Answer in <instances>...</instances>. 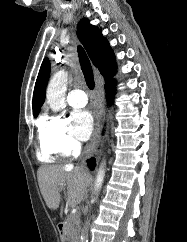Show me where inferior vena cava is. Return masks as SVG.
<instances>
[{
	"label": "inferior vena cava",
	"instance_id": "obj_1",
	"mask_svg": "<svg viewBox=\"0 0 187 242\" xmlns=\"http://www.w3.org/2000/svg\"><path fill=\"white\" fill-rule=\"evenodd\" d=\"M81 152V144L79 142H75L73 145V156L77 158Z\"/></svg>",
	"mask_w": 187,
	"mask_h": 242
}]
</instances>
